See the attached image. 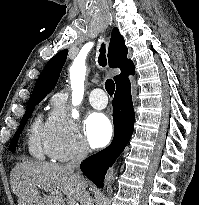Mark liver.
Here are the masks:
<instances>
[{
	"mask_svg": "<svg viewBox=\"0 0 199 205\" xmlns=\"http://www.w3.org/2000/svg\"><path fill=\"white\" fill-rule=\"evenodd\" d=\"M10 184L18 197V205H64L57 191L81 203L87 187L83 177L79 179L65 165L39 161L18 163L11 171ZM38 188L46 190L49 195H41Z\"/></svg>",
	"mask_w": 199,
	"mask_h": 205,
	"instance_id": "obj_1",
	"label": "liver"
}]
</instances>
